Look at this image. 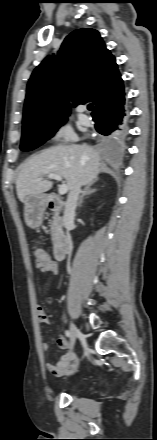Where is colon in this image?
<instances>
[{
	"instance_id": "5ec220e1",
	"label": "colon",
	"mask_w": 157,
	"mask_h": 440,
	"mask_svg": "<svg viewBox=\"0 0 157 440\" xmlns=\"http://www.w3.org/2000/svg\"><path fill=\"white\" fill-rule=\"evenodd\" d=\"M33 251L36 258V267L38 269L43 268L51 261L49 254L43 248L34 246Z\"/></svg>"
}]
</instances>
